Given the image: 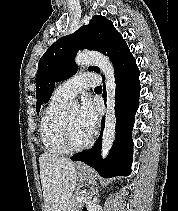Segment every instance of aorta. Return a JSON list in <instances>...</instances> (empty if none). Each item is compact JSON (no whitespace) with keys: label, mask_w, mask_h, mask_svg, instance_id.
Instances as JSON below:
<instances>
[{"label":"aorta","mask_w":178,"mask_h":211,"mask_svg":"<svg viewBox=\"0 0 178 211\" xmlns=\"http://www.w3.org/2000/svg\"><path fill=\"white\" fill-rule=\"evenodd\" d=\"M78 66L96 65L100 68L105 77L106 93H107V111L105 119V128L102 137V158H106L115 137V91L116 80L114 67L109 58L99 52L88 51L78 53L74 60ZM72 109H77L78 104L73 102L70 104Z\"/></svg>","instance_id":"obj_1"}]
</instances>
